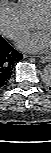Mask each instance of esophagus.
<instances>
[{
	"instance_id": "1",
	"label": "esophagus",
	"mask_w": 51,
	"mask_h": 153,
	"mask_svg": "<svg viewBox=\"0 0 51 153\" xmlns=\"http://www.w3.org/2000/svg\"><path fill=\"white\" fill-rule=\"evenodd\" d=\"M50 61H51V57L49 55L40 56V62L45 63Z\"/></svg>"
}]
</instances>
